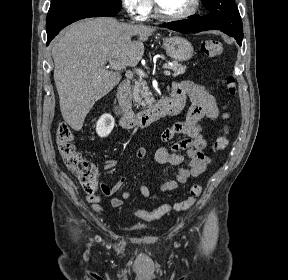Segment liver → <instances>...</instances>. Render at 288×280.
Returning <instances> with one entry per match:
<instances>
[{"mask_svg":"<svg viewBox=\"0 0 288 280\" xmlns=\"http://www.w3.org/2000/svg\"><path fill=\"white\" fill-rule=\"evenodd\" d=\"M155 30L111 17L85 19L66 29L53 46L52 57L60 110L72 129L81 130L95 102L119 83L121 73L108 70L106 62L137 65L144 54L143 42ZM133 36L138 40L132 41Z\"/></svg>","mask_w":288,"mask_h":280,"instance_id":"1","label":"liver"}]
</instances>
